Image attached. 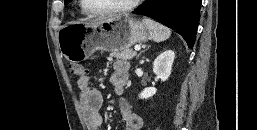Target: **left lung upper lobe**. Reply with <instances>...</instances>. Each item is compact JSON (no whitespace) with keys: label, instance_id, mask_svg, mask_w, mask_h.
Returning <instances> with one entry per match:
<instances>
[{"label":"left lung upper lobe","instance_id":"obj_1","mask_svg":"<svg viewBox=\"0 0 257 130\" xmlns=\"http://www.w3.org/2000/svg\"><path fill=\"white\" fill-rule=\"evenodd\" d=\"M70 0H64L65 5L68 4Z\"/></svg>","mask_w":257,"mask_h":130}]
</instances>
